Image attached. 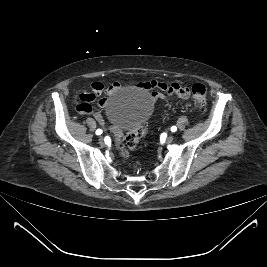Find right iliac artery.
Wrapping results in <instances>:
<instances>
[{"label": "right iliac artery", "instance_id": "1", "mask_svg": "<svg viewBox=\"0 0 267 267\" xmlns=\"http://www.w3.org/2000/svg\"><path fill=\"white\" fill-rule=\"evenodd\" d=\"M96 134H97V135L102 134V130H101V129L96 130Z\"/></svg>", "mask_w": 267, "mask_h": 267}]
</instances>
